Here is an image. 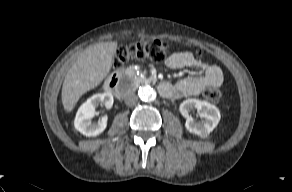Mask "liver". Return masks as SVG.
Listing matches in <instances>:
<instances>
[{"instance_id":"obj_1","label":"liver","mask_w":292,"mask_h":192,"mask_svg":"<svg viewBox=\"0 0 292 192\" xmlns=\"http://www.w3.org/2000/svg\"><path fill=\"white\" fill-rule=\"evenodd\" d=\"M117 42H101L87 47L76 59L64 79L62 104L71 112L80 97L97 87L107 76Z\"/></svg>"}]
</instances>
